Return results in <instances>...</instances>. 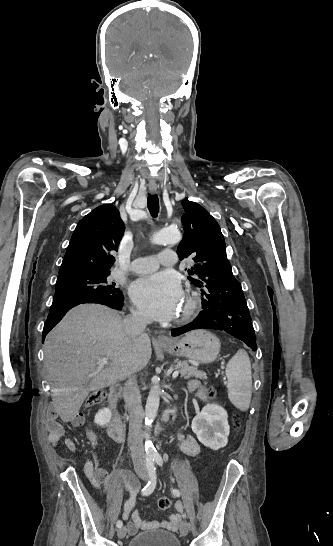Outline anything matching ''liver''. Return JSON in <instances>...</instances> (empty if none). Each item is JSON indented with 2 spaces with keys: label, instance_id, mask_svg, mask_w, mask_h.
Segmentation results:
<instances>
[{
  "label": "liver",
  "instance_id": "obj_1",
  "mask_svg": "<svg viewBox=\"0 0 333 546\" xmlns=\"http://www.w3.org/2000/svg\"><path fill=\"white\" fill-rule=\"evenodd\" d=\"M43 348L53 405L66 423L78 415L90 391L141 371L152 354L148 335L130 338L116 311L93 304L71 309L47 335ZM99 357L109 365L101 369Z\"/></svg>",
  "mask_w": 333,
  "mask_h": 546
}]
</instances>
